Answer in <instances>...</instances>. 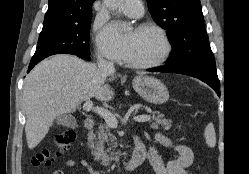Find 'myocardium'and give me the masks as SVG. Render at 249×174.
Segmentation results:
<instances>
[{
	"mask_svg": "<svg viewBox=\"0 0 249 174\" xmlns=\"http://www.w3.org/2000/svg\"><path fill=\"white\" fill-rule=\"evenodd\" d=\"M137 31H144V30H152L156 32L162 39L164 43V52L160 57L155 60L147 61V62H128V64L134 68L138 69H148L162 65L165 63L171 56L173 51L172 42L167 34V32L160 27L159 25L151 22L141 23L136 28Z\"/></svg>",
	"mask_w": 249,
	"mask_h": 174,
	"instance_id": "myocardium-1",
	"label": "myocardium"
}]
</instances>
